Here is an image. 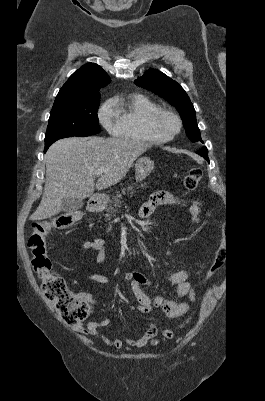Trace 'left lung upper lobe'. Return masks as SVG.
<instances>
[{
	"label": "left lung upper lobe",
	"mask_w": 265,
	"mask_h": 401,
	"mask_svg": "<svg viewBox=\"0 0 265 401\" xmlns=\"http://www.w3.org/2000/svg\"><path fill=\"white\" fill-rule=\"evenodd\" d=\"M135 84L152 91L175 106L183 120L188 138L193 142H202L193 104L184 89L176 81L160 71L150 69L138 78Z\"/></svg>",
	"instance_id": "1"
}]
</instances>
